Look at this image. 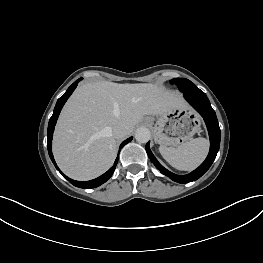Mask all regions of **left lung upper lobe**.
<instances>
[{"label":"left lung upper lobe","mask_w":263,"mask_h":263,"mask_svg":"<svg viewBox=\"0 0 263 263\" xmlns=\"http://www.w3.org/2000/svg\"><path fill=\"white\" fill-rule=\"evenodd\" d=\"M170 83L176 84L182 92L196 91L199 89L194 83L186 78H174L170 81Z\"/></svg>","instance_id":"5c2ea615"}]
</instances>
